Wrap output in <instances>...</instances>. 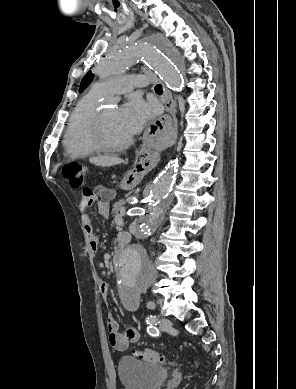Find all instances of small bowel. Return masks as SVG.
Instances as JSON below:
<instances>
[{
  "label": "small bowel",
  "instance_id": "1",
  "mask_svg": "<svg viewBox=\"0 0 296 389\" xmlns=\"http://www.w3.org/2000/svg\"><path fill=\"white\" fill-rule=\"evenodd\" d=\"M114 196V191L111 189L99 187L96 192L89 189L83 191L80 201L79 209L81 211L82 225L88 235L90 248L92 251H96L98 247V239L93 232V226L90 216L87 213V209L90 205L97 201L98 210L102 215L107 214L109 203L108 201ZM121 237H128L126 234H121ZM100 293L103 298H107L109 293V285L106 282L101 281ZM107 327L109 330V343L117 351H125L130 343H134L139 339V332L134 327H127L124 330L120 329L118 321L112 316L107 317Z\"/></svg>",
  "mask_w": 296,
  "mask_h": 389
}]
</instances>
